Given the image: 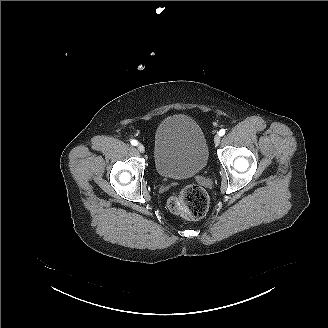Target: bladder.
I'll use <instances>...</instances> for the list:
<instances>
[{"label":"bladder","mask_w":328,"mask_h":328,"mask_svg":"<svg viewBox=\"0 0 328 328\" xmlns=\"http://www.w3.org/2000/svg\"><path fill=\"white\" fill-rule=\"evenodd\" d=\"M208 150L198 124L189 116L166 118L155 135V169L163 176L181 177L203 170Z\"/></svg>","instance_id":"31cf9c89"}]
</instances>
